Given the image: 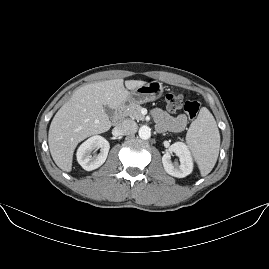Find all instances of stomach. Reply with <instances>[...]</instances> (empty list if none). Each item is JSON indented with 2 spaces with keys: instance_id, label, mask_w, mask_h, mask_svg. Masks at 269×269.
Instances as JSON below:
<instances>
[{
  "instance_id": "obj_1",
  "label": "stomach",
  "mask_w": 269,
  "mask_h": 269,
  "mask_svg": "<svg viewBox=\"0 0 269 269\" xmlns=\"http://www.w3.org/2000/svg\"><path fill=\"white\" fill-rule=\"evenodd\" d=\"M162 93V83L159 81H152L131 90L127 98V103L143 104L145 102L154 101L160 98Z\"/></svg>"
}]
</instances>
